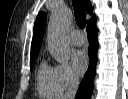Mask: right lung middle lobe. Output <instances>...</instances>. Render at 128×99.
<instances>
[{"label":"right lung middle lobe","instance_id":"1","mask_svg":"<svg viewBox=\"0 0 128 99\" xmlns=\"http://www.w3.org/2000/svg\"><path fill=\"white\" fill-rule=\"evenodd\" d=\"M36 57H37V56H32V57H30V67H31V69H32V67H33V63H34Z\"/></svg>","mask_w":128,"mask_h":99}]
</instances>
